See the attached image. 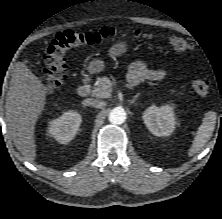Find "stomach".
Instances as JSON below:
<instances>
[{
  "label": "stomach",
  "instance_id": "stomach-1",
  "mask_svg": "<svg viewBox=\"0 0 222 219\" xmlns=\"http://www.w3.org/2000/svg\"><path fill=\"white\" fill-rule=\"evenodd\" d=\"M128 50V45L124 41H119L113 44L109 49V55L111 57H120L124 55ZM104 69V62L99 59H95L89 63L88 71L91 74L99 73Z\"/></svg>",
  "mask_w": 222,
  "mask_h": 219
}]
</instances>
